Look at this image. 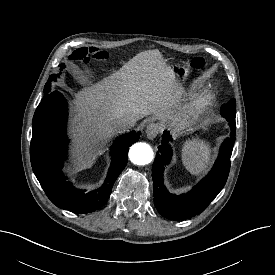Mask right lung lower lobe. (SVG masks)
I'll return each mask as SVG.
<instances>
[{
  "label": "right lung lower lobe",
  "instance_id": "obj_1",
  "mask_svg": "<svg viewBox=\"0 0 275 275\" xmlns=\"http://www.w3.org/2000/svg\"><path fill=\"white\" fill-rule=\"evenodd\" d=\"M67 104L57 91L45 95L32 121L31 165L44 192L59 208L76 213H90L103 206L114 182L125 168L128 149L140 138V132L119 137L111 148L112 164L102 187L88 193L75 189L62 172L67 154Z\"/></svg>",
  "mask_w": 275,
  "mask_h": 275
}]
</instances>
